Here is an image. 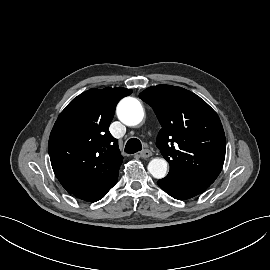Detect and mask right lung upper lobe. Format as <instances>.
I'll return each mask as SVG.
<instances>
[{"label":"right lung upper lobe","instance_id":"1","mask_svg":"<svg viewBox=\"0 0 270 270\" xmlns=\"http://www.w3.org/2000/svg\"><path fill=\"white\" fill-rule=\"evenodd\" d=\"M131 89H90L58 116L48 151L53 171L70 194L99 186L119 171L123 157L108 131L119 100Z\"/></svg>","mask_w":270,"mask_h":270}]
</instances>
